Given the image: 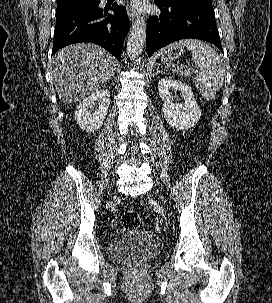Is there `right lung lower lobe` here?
Instances as JSON below:
<instances>
[{
	"label": "right lung lower lobe",
	"instance_id": "98d812e1",
	"mask_svg": "<svg viewBox=\"0 0 272 303\" xmlns=\"http://www.w3.org/2000/svg\"><path fill=\"white\" fill-rule=\"evenodd\" d=\"M100 1L82 9L56 15L52 54L77 42H91L102 46L118 60L129 29V19L123 6L113 4L114 14L98 7Z\"/></svg>",
	"mask_w": 272,
	"mask_h": 303
}]
</instances>
